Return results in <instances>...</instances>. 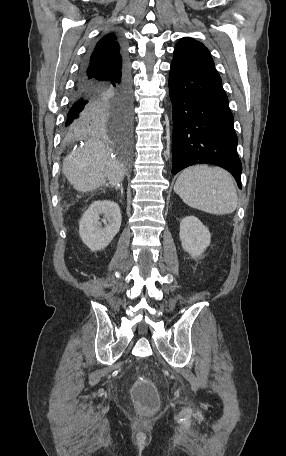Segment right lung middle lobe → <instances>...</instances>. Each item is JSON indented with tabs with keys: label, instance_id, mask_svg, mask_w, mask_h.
<instances>
[{
	"label": "right lung middle lobe",
	"instance_id": "right-lung-middle-lobe-1",
	"mask_svg": "<svg viewBox=\"0 0 286 456\" xmlns=\"http://www.w3.org/2000/svg\"><path fill=\"white\" fill-rule=\"evenodd\" d=\"M123 129H124V127H120V131H122ZM131 135H132V132H131ZM131 135H130V138H129L128 140H124V139H122V138H121V140H122L124 143L129 144L130 141H131Z\"/></svg>",
	"mask_w": 286,
	"mask_h": 456
}]
</instances>
